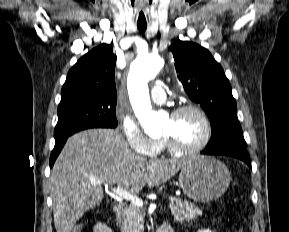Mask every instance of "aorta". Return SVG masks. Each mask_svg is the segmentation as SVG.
Returning <instances> with one entry per match:
<instances>
[{"instance_id": "obj_1", "label": "aorta", "mask_w": 289, "mask_h": 232, "mask_svg": "<svg viewBox=\"0 0 289 232\" xmlns=\"http://www.w3.org/2000/svg\"><path fill=\"white\" fill-rule=\"evenodd\" d=\"M163 64V59L158 55L139 56L132 63L128 75L127 87L133 110L149 136L161 134L162 117L152 111L147 83L156 77Z\"/></svg>"}]
</instances>
